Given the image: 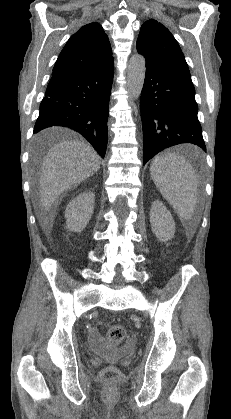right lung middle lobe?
I'll list each match as a JSON object with an SVG mask.
<instances>
[{
  "instance_id": "dd1d6c3e",
  "label": "right lung middle lobe",
  "mask_w": 231,
  "mask_h": 419,
  "mask_svg": "<svg viewBox=\"0 0 231 419\" xmlns=\"http://www.w3.org/2000/svg\"><path fill=\"white\" fill-rule=\"evenodd\" d=\"M41 143H37V146H40Z\"/></svg>"
}]
</instances>
